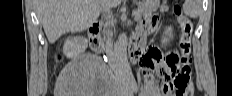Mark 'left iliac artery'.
Wrapping results in <instances>:
<instances>
[{
  "instance_id": "obj_1",
  "label": "left iliac artery",
  "mask_w": 232,
  "mask_h": 96,
  "mask_svg": "<svg viewBox=\"0 0 232 96\" xmlns=\"http://www.w3.org/2000/svg\"><path fill=\"white\" fill-rule=\"evenodd\" d=\"M134 89V91L136 92L137 91V89L136 88H133Z\"/></svg>"
}]
</instances>
